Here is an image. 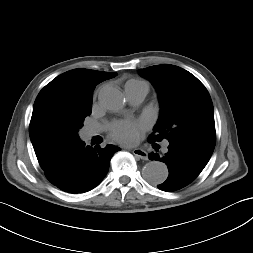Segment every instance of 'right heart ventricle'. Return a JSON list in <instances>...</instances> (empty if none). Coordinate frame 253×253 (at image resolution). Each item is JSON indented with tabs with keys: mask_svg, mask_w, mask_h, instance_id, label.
Returning <instances> with one entry per match:
<instances>
[{
	"mask_svg": "<svg viewBox=\"0 0 253 253\" xmlns=\"http://www.w3.org/2000/svg\"><path fill=\"white\" fill-rule=\"evenodd\" d=\"M134 86H146V87H148V84L145 81L139 80V79H129L125 83V89L130 88V87H134Z\"/></svg>",
	"mask_w": 253,
	"mask_h": 253,
	"instance_id": "right-heart-ventricle-1",
	"label": "right heart ventricle"
}]
</instances>
